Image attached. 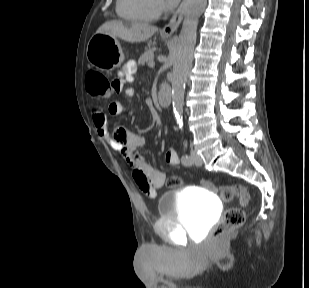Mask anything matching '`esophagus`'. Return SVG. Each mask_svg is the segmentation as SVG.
<instances>
[{
  "label": "esophagus",
  "instance_id": "1",
  "mask_svg": "<svg viewBox=\"0 0 309 288\" xmlns=\"http://www.w3.org/2000/svg\"><path fill=\"white\" fill-rule=\"evenodd\" d=\"M186 7V0H183L182 3L180 4L179 8L176 10L168 24H166L161 32L164 35L170 36L174 34V32L178 29L179 25L182 22L184 11Z\"/></svg>",
  "mask_w": 309,
  "mask_h": 288
}]
</instances>
